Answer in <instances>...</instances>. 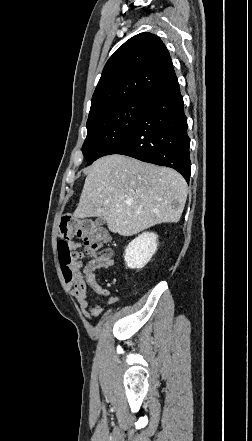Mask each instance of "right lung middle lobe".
Instances as JSON below:
<instances>
[{"label": "right lung middle lobe", "instance_id": "obj_1", "mask_svg": "<svg viewBox=\"0 0 252 441\" xmlns=\"http://www.w3.org/2000/svg\"><path fill=\"white\" fill-rule=\"evenodd\" d=\"M144 109L142 98L105 108L88 117L82 152L88 164L105 156L135 126Z\"/></svg>", "mask_w": 252, "mask_h": 441}]
</instances>
